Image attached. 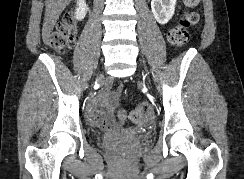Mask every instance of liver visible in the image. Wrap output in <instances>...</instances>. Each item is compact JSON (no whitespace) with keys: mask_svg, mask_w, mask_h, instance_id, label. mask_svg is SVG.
<instances>
[{"mask_svg":"<svg viewBox=\"0 0 244 179\" xmlns=\"http://www.w3.org/2000/svg\"><path fill=\"white\" fill-rule=\"evenodd\" d=\"M70 0H46V10L42 28V40L46 46L49 44L51 32L59 20L64 8L69 4Z\"/></svg>","mask_w":244,"mask_h":179,"instance_id":"1","label":"liver"}]
</instances>
